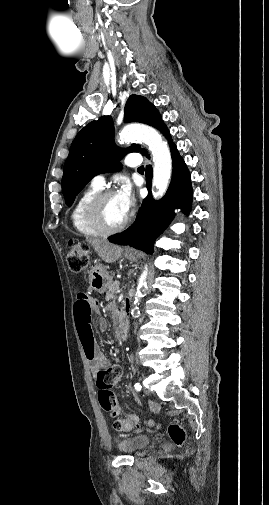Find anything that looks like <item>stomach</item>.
Wrapping results in <instances>:
<instances>
[{"mask_svg": "<svg viewBox=\"0 0 269 505\" xmlns=\"http://www.w3.org/2000/svg\"><path fill=\"white\" fill-rule=\"evenodd\" d=\"M125 258L130 261H136V254H125ZM89 284L90 288L103 293L112 284V277L109 274L108 267L102 264H96L90 267L89 270Z\"/></svg>", "mask_w": 269, "mask_h": 505, "instance_id": "stomach-1", "label": "stomach"}]
</instances>
